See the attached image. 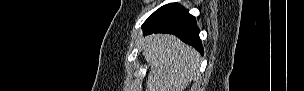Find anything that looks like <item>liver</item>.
Wrapping results in <instances>:
<instances>
[{
    "label": "liver",
    "instance_id": "1",
    "mask_svg": "<svg viewBox=\"0 0 304 91\" xmlns=\"http://www.w3.org/2000/svg\"><path fill=\"white\" fill-rule=\"evenodd\" d=\"M150 66L146 91H184L199 67V54L170 34H152L142 42Z\"/></svg>",
    "mask_w": 304,
    "mask_h": 91
}]
</instances>
